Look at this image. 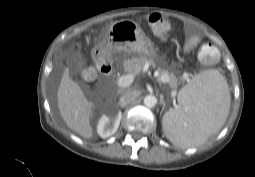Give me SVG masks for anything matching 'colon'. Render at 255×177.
<instances>
[{
  "instance_id": "5ec220e1",
  "label": "colon",
  "mask_w": 255,
  "mask_h": 177,
  "mask_svg": "<svg viewBox=\"0 0 255 177\" xmlns=\"http://www.w3.org/2000/svg\"><path fill=\"white\" fill-rule=\"evenodd\" d=\"M147 21L153 32L160 38H165L171 31V22L166 16L160 13H151ZM198 57L202 62L212 64L217 61L219 51L213 44L206 43L199 49ZM84 76L87 79H91L93 77V71L91 69L85 70Z\"/></svg>"
}]
</instances>
